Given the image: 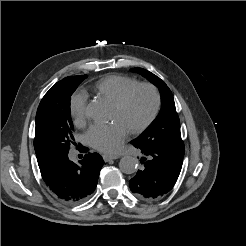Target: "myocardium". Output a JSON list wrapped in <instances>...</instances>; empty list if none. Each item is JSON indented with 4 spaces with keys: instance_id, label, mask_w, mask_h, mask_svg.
Returning <instances> with one entry per match:
<instances>
[{
    "instance_id": "1",
    "label": "myocardium",
    "mask_w": 246,
    "mask_h": 246,
    "mask_svg": "<svg viewBox=\"0 0 246 246\" xmlns=\"http://www.w3.org/2000/svg\"><path fill=\"white\" fill-rule=\"evenodd\" d=\"M140 89H148L149 91H151L154 97V106L151 114L145 121H143L140 125L130 129V132L132 134H140L144 132L147 128H149L157 118L162 104L160 91L155 85L151 83H138L127 89L119 98H117L114 101V106L118 108H123L129 102L134 93Z\"/></svg>"
}]
</instances>
